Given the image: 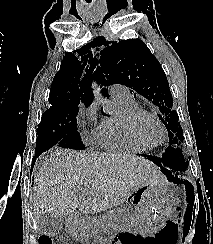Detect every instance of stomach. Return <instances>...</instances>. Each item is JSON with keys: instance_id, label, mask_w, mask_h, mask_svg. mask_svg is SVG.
Segmentation results:
<instances>
[{"instance_id": "0dacf381", "label": "stomach", "mask_w": 213, "mask_h": 244, "mask_svg": "<svg viewBox=\"0 0 213 244\" xmlns=\"http://www.w3.org/2000/svg\"><path fill=\"white\" fill-rule=\"evenodd\" d=\"M137 205L133 214L137 230H147L169 219L175 209V198L163 183H149L133 194ZM73 237L86 238V221H69ZM75 226V227H74Z\"/></svg>"}]
</instances>
